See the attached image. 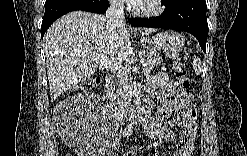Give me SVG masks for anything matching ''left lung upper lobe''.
<instances>
[{
  "mask_svg": "<svg viewBox=\"0 0 247 156\" xmlns=\"http://www.w3.org/2000/svg\"><path fill=\"white\" fill-rule=\"evenodd\" d=\"M174 0H165V5L172 3Z\"/></svg>",
  "mask_w": 247,
  "mask_h": 156,
  "instance_id": "1",
  "label": "left lung upper lobe"
}]
</instances>
